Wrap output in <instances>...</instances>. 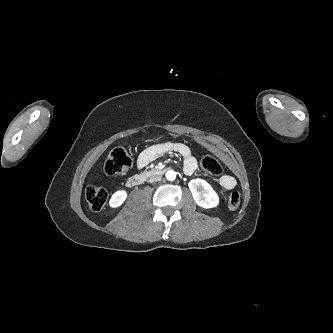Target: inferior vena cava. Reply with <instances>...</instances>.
<instances>
[{
    "mask_svg": "<svg viewBox=\"0 0 333 333\" xmlns=\"http://www.w3.org/2000/svg\"><path fill=\"white\" fill-rule=\"evenodd\" d=\"M161 180V176H152L150 179H149V182L150 183H153V182H156V181H160Z\"/></svg>",
    "mask_w": 333,
    "mask_h": 333,
    "instance_id": "inferior-vena-cava-1",
    "label": "inferior vena cava"
}]
</instances>
